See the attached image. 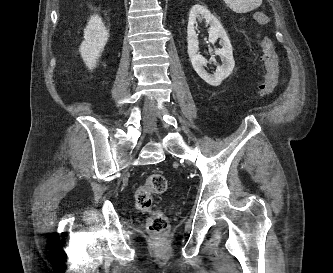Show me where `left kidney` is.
Returning a JSON list of instances; mask_svg holds the SVG:
<instances>
[{
	"mask_svg": "<svg viewBox=\"0 0 333 273\" xmlns=\"http://www.w3.org/2000/svg\"><path fill=\"white\" fill-rule=\"evenodd\" d=\"M205 20L210 25L209 42L214 44L218 38L222 45L221 49H215V54L219 55L222 65H218L214 75H210L204 69L208 61L198 53L199 41L198 34L195 31L197 21ZM188 55L196 73L208 84L218 86L226 79L234 69L235 61L233 59L232 46L219 20L210 13V11L201 4L194 5L189 13L187 26Z\"/></svg>",
	"mask_w": 333,
	"mask_h": 273,
	"instance_id": "1",
	"label": "left kidney"
}]
</instances>
